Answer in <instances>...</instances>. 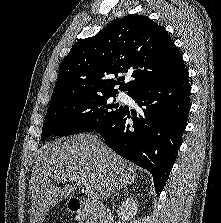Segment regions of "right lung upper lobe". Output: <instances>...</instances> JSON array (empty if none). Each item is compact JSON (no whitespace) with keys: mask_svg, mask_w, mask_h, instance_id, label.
<instances>
[{"mask_svg":"<svg viewBox=\"0 0 221 223\" xmlns=\"http://www.w3.org/2000/svg\"><path fill=\"white\" fill-rule=\"evenodd\" d=\"M184 61L164 27L143 15L117 19L77 42L63 59L51 102L70 96L133 91L177 77ZM131 80L120 82L118 73Z\"/></svg>","mask_w":221,"mask_h":223,"instance_id":"cb5924a9","label":"right lung upper lobe"}]
</instances>
